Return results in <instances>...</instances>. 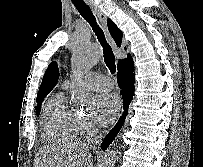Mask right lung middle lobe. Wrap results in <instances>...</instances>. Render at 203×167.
<instances>
[{
	"label": "right lung middle lobe",
	"mask_w": 203,
	"mask_h": 167,
	"mask_svg": "<svg viewBox=\"0 0 203 167\" xmlns=\"http://www.w3.org/2000/svg\"><path fill=\"white\" fill-rule=\"evenodd\" d=\"M41 103H42V101L38 103V106H36V115L37 116H39V114H40V109H41L40 105H41Z\"/></svg>",
	"instance_id": "dd1d6c3e"
}]
</instances>
